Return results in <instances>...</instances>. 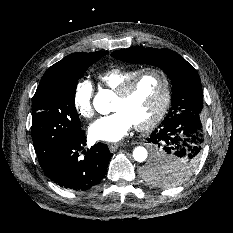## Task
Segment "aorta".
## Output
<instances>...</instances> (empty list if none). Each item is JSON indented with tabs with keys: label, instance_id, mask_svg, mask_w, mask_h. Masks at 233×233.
Here are the masks:
<instances>
[{
	"label": "aorta",
	"instance_id": "obj_1",
	"mask_svg": "<svg viewBox=\"0 0 233 233\" xmlns=\"http://www.w3.org/2000/svg\"><path fill=\"white\" fill-rule=\"evenodd\" d=\"M112 92L110 90H100L93 100L95 110L100 114H108L111 111L110 101L112 99ZM148 157V152L145 147L138 146L133 150V158L137 162H144Z\"/></svg>",
	"mask_w": 233,
	"mask_h": 233
}]
</instances>
